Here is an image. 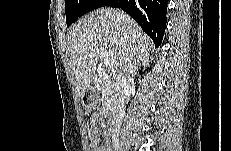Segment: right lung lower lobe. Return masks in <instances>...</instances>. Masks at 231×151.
Instances as JSON below:
<instances>
[{
	"label": "right lung lower lobe",
	"instance_id": "right-lung-lower-lobe-1",
	"mask_svg": "<svg viewBox=\"0 0 231 151\" xmlns=\"http://www.w3.org/2000/svg\"><path fill=\"white\" fill-rule=\"evenodd\" d=\"M167 4L168 0H105L102 6L122 8L158 47L166 28Z\"/></svg>",
	"mask_w": 231,
	"mask_h": 151
}]
</instances>
